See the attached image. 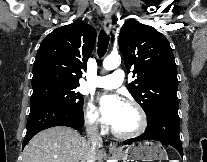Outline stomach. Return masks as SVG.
Segmentation results:
<instances>
[{
	"mask_svg": "<svg viewBox=\"0 0 207 162\" xmlns=\"http://www.w3.org/2000/svg\"><path fill=\"white\" fill-rule=\"evenodd\" d=\"M118 158L128 161L152 162L155 160H166V150L161 143L144 141L128 146L125 150L120 149L116 154Z\"/></svg>",
	"mask_w": 207,
	"mask_h": 162,
	"instance_id": "1",
	"label": "stomach"
}]
</instances>
